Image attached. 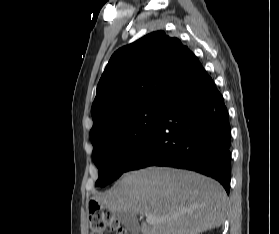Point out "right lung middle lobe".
<instances>
[{"label":"right lung middle lobe","instance_id":"right-lung-middle-lobe-1","mask_svg":"<svg viewBox=\"0 0 279 234\" xmlns=\"http://www.w3.org/2000/svg\"><path fill=\"white\" fill-rule=\"evenodd\" d=\"M162 110L151 107L125 114L92 141V157L99 172L96 186L104 187L126 171L156 127Z\"/></svg>","mask_w":279,"mask_h":234}]
</instances>
